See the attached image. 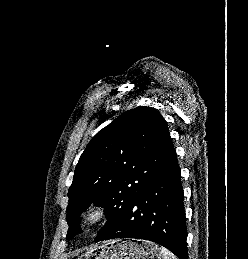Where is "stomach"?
<instances>
[{
  "mask_svg": "<svg viewBox=\"0 0 248 259\" xmlns=\"http://www.w3.org/2000/svg\"><path fill=\"white\" fill-rule=\"evenodd\" d=\"M78 259H162V254L153 242L127 239L94 247Z\"/></svg>",
  "mask_w": 248,
  "mask_h": 259,
  "instance_id": "0dacf381",
  "label": "stomach"
}]
</instances>
